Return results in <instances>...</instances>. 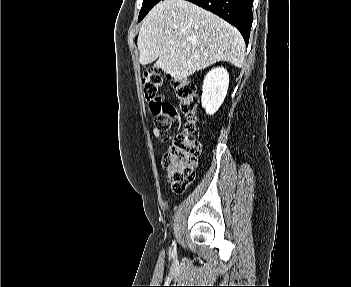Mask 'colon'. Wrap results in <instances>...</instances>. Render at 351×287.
I'll list each match as a JSON object with an SVG mask.
<instances>
[{
	"instance_id": "obj_1",
	"label": "colon",
	"mask_w": 351,
	"mask_h": 287,
	"mask_svg": "<svg viewBox=\"0 0 351 287\" xmlns=\"http://www.w3.org/2000/svg\"><path fill=\"white\" fill-rule=\"evenodd\" d=\"M162 77L158 69L146 71L142 78V92L155 115L154 125L160 131L169 129L173 118L182 114L187 118L184 131L176 135L173 143L163 157V167L175 193H184L195 179V167L200 155V143L194 139L195 114L199 105L196 85L186 78L175 82V94L179 102L176 108L158 96Z\"/></svg>"
}]
</instances>
